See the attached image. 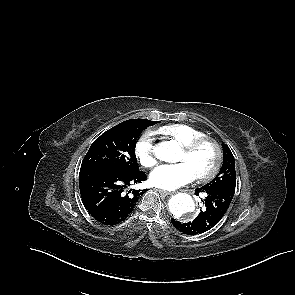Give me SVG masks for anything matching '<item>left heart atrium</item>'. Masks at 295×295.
<instances>
[{"mask_svg":"<svg viewBox=\"0 0 295 295\" xmlns=\"http://www.w3.org/2000/svg\"><path fill=\"white\" fill-rule=\"evenodd\" d=\"M195 178V172L186 162L161 165L150 175V181L154 186L166 190L177 189L192 182Z\"/></svg>","mask_w":295,"mask_h":295,"instance_id":"39dd6f15","label":"left heart atrium"}]
</instances>
